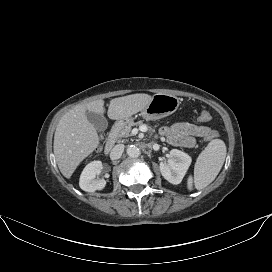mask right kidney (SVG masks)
I'll list each match as a JSON object with an SVG mask.
<instances>
[{"mask_svg": "<svg viewBox=\"0 0 272 272\" xmlns=\"http://www.w3.org/2000/svg\"><path fill=\"white\" fill-rule=\"evenodd\" d=\"M102 168L101 161H93L86 165L80 176V188L86 192L102 190L106 186L105 179L98 177Z\"/></svg>", "mask_w": 272, "mask_h": 272, "instance_id": "1", "label": "right kidney"}]
</instances>
